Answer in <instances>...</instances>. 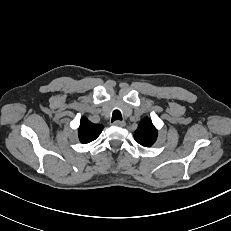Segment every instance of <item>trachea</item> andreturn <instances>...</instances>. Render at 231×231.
Wrapping results in <instances>:
<instances>
[{
  "label": "trachea",
  "mask_w": 231,
  "mask_h": 231,
  "mask_svg": "<svg viewBox=\"0 0 231 231\" xmlns=\"http://www.w3.org/2000/svg\"><path fill=\"white\" fill-rule=\"evenodd\" d=\"M116 120H122V115L121 112L119 110H115L112 113V122L116 121Z\"/></svg>",
  "instance_id": "trachea-1"
}]
</instances>
